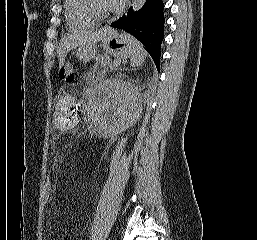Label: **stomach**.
I'll list each match as a JSON object with an SVG mask.
<instances>
[{"instance_id": "stomach-1", "label": "stomach", "mask_w": 257, "mask_h": 240, "mask_svg": "<svg viewBox=\"0 0 257 240\" xmlns=\"http://www.w3.org/2000/svg\"><path fill=\"white\" fill-rule=\"evenodd\" d=\"M103 47L116 57L126 58L131 53V43L124 34H118L116 30L108 28L102 39ZM96 46H81L76 51V56L84 63L89 62L96 56Z\"/></svg>"}]
</instances>
